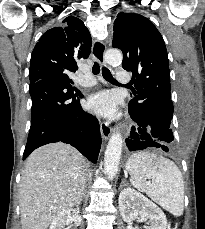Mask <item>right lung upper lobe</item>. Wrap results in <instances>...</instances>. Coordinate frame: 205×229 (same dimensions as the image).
Instances as JSON below:
<instances>
[{
    "label": "right lung upper lobe",
    "instance_id": "right-lung-upper-lobe-1",
    "mask_svg": "<svg viewBox=\"0 0 205 229\" xmlns=\"http://www.w3.org/2000/svg\"><path fill=\"white\" fill-rule=\"evenodd\" d=\"M62 23V27L46 31L35 45L29 69L30 85L42 79L75 72L78 69L77 61L88 58L92 39L84 23L72 16Z\"/></svg>",
    "mask_w": 205,
    "mask_h": 229
}]
</instances>
